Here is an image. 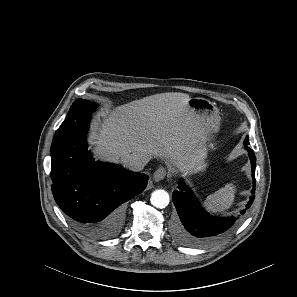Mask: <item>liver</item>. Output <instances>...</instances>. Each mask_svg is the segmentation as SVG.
<instances>
[{"instance_id":"obj_1","label":"liver","mask_w":297,"mask_h":297,"mask_svg":"<svg viewBox=\"0 0 297 297\" xmlns=\"http://www.w3.org/2000/svg\"><path fill=\"white\" fill-rule=\"evenodd\" d=\"M190 97L167 92L118 106L98 119L94 130V153L102 159L122 162L131 154L187 170L206 143L200 118L189 110Z\"/></svg>"}]
</instances>
